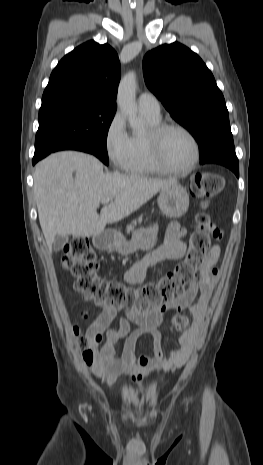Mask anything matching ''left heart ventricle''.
Listing matches in <instances>:
<instances>
[{"mask_svg":"<svg viewBox=\"0 0 263 465\" xmlns=\"http://www.w3.org/2000/svg\"><path fill=\"white\" fill-rule=\"evenodd\" d=\"M166 162L176 168H185L194 158V146L189 137L179 130H169L162 141Z\"/></svg>","mask_w":263,"mask_h":465,"instance_id":"b2bd125f","label":"left heart ventricle"}]
</instances>
